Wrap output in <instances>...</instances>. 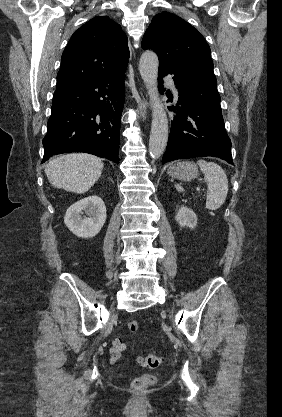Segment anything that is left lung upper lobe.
<instances>
[{"instance_id": "5c2ea615", "label": "left lung upper lobe", "mask_w": 282, "mask_h": 417, "mask_svg": "<svg viewBox=\"0 0 282 417\" xmlns=\"http://www.w3.org/2000/svg\"><path fill=\"white\" fill-rule=\"evenodd\" d=\"M142 48L156 52L159 69L213 72L210 47L204 37L172 13L162 12L153 17L143 37Z\"/></svg>"}]
</instances>
